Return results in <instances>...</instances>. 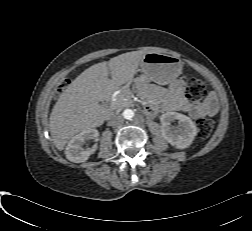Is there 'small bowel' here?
<instances>
[{
  "mask_svg": "<svg viewBox=\"0 0 252 231\" xmlns=\"http://www.w3.org/2000/svg\"><path fill=\"white\" fill-rule=\"evenodd\" d=\"M178 107L184 112H189L194 116H201L204 114L205 108L201 104L191 105L187 101L179 98Z\"/></svg>",
  "mask_w": 252,
  "mask_h": 231,
  "instance_id": "obj_1",
  "label": "small bowel"
}]
</instances>
